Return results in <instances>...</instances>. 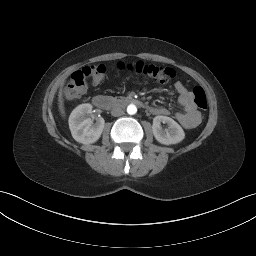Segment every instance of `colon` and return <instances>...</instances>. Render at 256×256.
<instances>
[{
	"label": "colon",
	"mask_w": 256,
	"mask_h": 256,
	"mask_svg": "<svg viewBox=\"0 0 256 256\" xmlns=\"http://www.w3.org/2000/svg\"><path fill=\"white\" fill-rule=\"evenodd\" d=\"M120 68H127L137 75L161 83H168L175 77V72L170 67L148 64L142 61L131 63L126 66L120 65ZM105 72L106 68L102 64L86 66L75 71L65 87V98L68 100L79 99L86 92L89 81L94 83L100 82L103 79ZM192 93L196 107L200 110H206L208 101L204 89L201 86H196L193 88Z\"/></svg>",
	"instance_id": "1"
}]
</instances>
